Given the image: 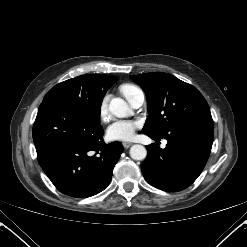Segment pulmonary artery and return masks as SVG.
Returning <instances> with one entry per match:
<instances>
[{"label": "pulmonary artery", "mask_w": 247, "mask_h": 247, "mask_svg": "<svg viewBox=\"0 0 247 247\" xmlns=\"http://www.w3.org/2000/svg\"><path fill=\"white\" fill-rule=\"evenodd\" d=\"M128 101L133 108H139L143 105L145 101L144 93L141 90H139L135 92Z\"/></svg>", "instance_id": "1"}]
</instances>
